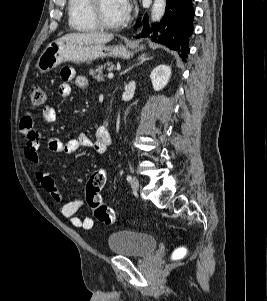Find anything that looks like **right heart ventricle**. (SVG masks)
<instances>
[{
  "instance_id": "e07e8e85",
  "label": "right heart ventricle",
  "mask_w": 267,
  "mask_h": 301,
  "mask_svg": "<svg viewBox=\"0 0 267 301\" xmlns=\"http://www.w3.org/2000/svg\"><path fill=\"white\" fill-rule=\"evenodd\" d=\"M90 3V0H68V21L73 30L94 32L99 29L91 16Z\"/></svg>"
}]
</instances>
